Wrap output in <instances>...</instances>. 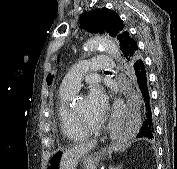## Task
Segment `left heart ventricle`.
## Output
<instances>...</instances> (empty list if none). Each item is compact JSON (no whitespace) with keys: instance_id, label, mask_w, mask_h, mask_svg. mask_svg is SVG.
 Instances as JSON below:
<instances>
[{"instance_id":"b2bd125f","label":"left heart ventricle","mask_w":177,"mask_h":169,"mask_svg":"<svg viewBox=\"0 0 177 169\" xmlns=\"http://www.w3.org/2000/svg\"><path fill=\"white\" fill-rule=\"evenodd\" d=\"M75 108L88 123L92 124L100 122L104 115V112L99 111L92 106L88 96L85 95L79 97L76 101Z\"/></svg>"}]
</instances>
